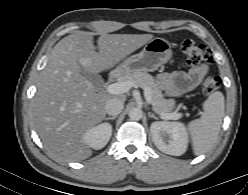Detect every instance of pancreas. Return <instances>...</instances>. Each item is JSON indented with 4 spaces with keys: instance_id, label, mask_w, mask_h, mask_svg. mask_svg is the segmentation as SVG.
<instances>
[{
    "instance_id": "cf45deb5",
    "label": "pancreas",
    "mask_w": 248,
    "mask_h": 195,
    "mask_svg": "<svg viewBox=\"0 0 248 195\" xmlns=\"http://www.w3.org/2000/svg\"><path fill=\"white\" fill-rule=\"evenodd\" d=\"M119 82L132 81L142 88L148 87L152 95V109L159 115L173 113L174 99H165L155 84L154 77L146 72H135L118 78Z\"/></svg>"
}]
</instances>
